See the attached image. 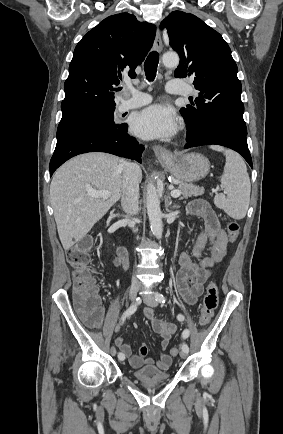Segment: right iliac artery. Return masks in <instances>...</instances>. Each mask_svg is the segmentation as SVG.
I'll use <instances>...</instances> for the list:
<instances>
[{"label": "right iliac artery", "instance_id": "right-iliac-artery-1", "mask_svg": "<svg viewBox=\"0 0 283 434\" xmlns=\"http://www.w3.org/2000/svg\"><path fill=\"white\" fill-rule=\"evenodd\" d=\"M140 302V300H139V298H137L136 299V302L135 303H133L125 312H124V314L122 315V317H121V323H123L124 322V320L127 318V317H130L136 310H137V306H138V303ZM118 359L119 360H124L125 359V357L123 356V354H121V353H119L118 354Z\"/></svg>", "mask_w": 283, "mask_h": 434}]
</instances>
